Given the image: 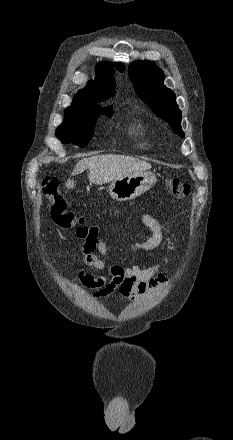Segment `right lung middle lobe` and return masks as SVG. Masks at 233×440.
Instances as JSON below:
<instances>
[{"label": "right lung middle lobe", "mask_w": 233, "mask_h": 440, "mask_svg": "<svg viewBox=\"0 0 233 440\" xmlns=\"http://www.w3.org/2000/svg\"><path fill=\"white\" fill-rule=\"evenodd\" d=\"M101 113L112 115V110L102 108L69 107L63 123L57 128L56 136L63 143H74L84 147L93 135L96 119Z\"/></svg>", "instance_id": "obj_1"}]
</instances>
